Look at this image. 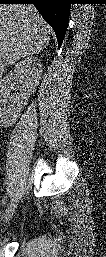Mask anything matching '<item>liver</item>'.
Instances as JSON below:
<instances>
[{
  "label": "liver",
  "instance_id": "liver-1",
  "mask_svg": "<svg viewBox=\"0 0 106 257\" xmlns=\"http://www.w3.org/2000/svg\"><path fill=\"white\" fill-rule=\"evenodd\" d=\"M50 32V27L33 5H1L0 67L40 53L49 44Z\"/></svg>",
  "mask_w": 106,
  "mask_h": 257
}]
</instances>
